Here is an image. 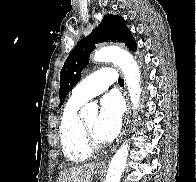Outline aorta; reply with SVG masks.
I'll return each instance as SVG.
<instances>
[{
    "instance_id": "obj_1",
    "label": "aorta",
    "mask_w": 196,
    "mask_h": 182,
    "mask_svg": "<svg viewBox=\"0 0 196 182\" xmlns=\"http://www.w3.org/2000/svg\"><path fill=\"white\" fill-rule=\"evenodd\" d=\"M94 60L97 62H113L118 65L124 73L133 109H136L140 102V70L138 64L130 53L119 48L105 47L95 52ZM98 105L88 103L81 109V115H97ZM129 146L124 143L114 154L109 165L105 182H119L126 167Z\"/></svg>"
}]
</instances>
